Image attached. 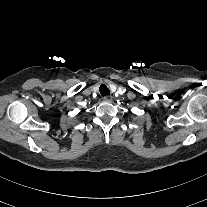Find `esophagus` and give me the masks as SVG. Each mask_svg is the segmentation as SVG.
<instances>
[{"instance_id":"esophagus-1","label":"esophagus","mask_w":207,"mask_h":207,"mask_svg":"<svg viewBox=\"0 0 207 207\" xmlns=\"http://www.w3.org/2000/svg\"><path fill=\"white\" fill-rule=\"evenodd\" d=\"M112 95H105L104 97H103V99L105 100V101H108V102H110L111 100H112Z\"/></svg>"}]
</instances>
